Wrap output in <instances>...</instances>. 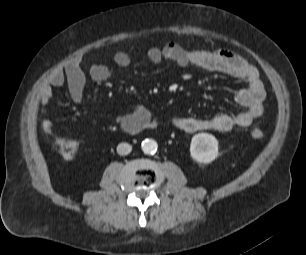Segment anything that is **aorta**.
Returning a JSON list of instances; mask_svg holds the SVG:
<instances>
[{"label":"aorta","instance_id":"1","mask_svg":"<svg viewBox=\"0 0 306 255\" xmlns=\"http://www.w3.org/2000/svg\"><path fill=\"white\" fill-rule=\"evenodd\" d=\"M158 144L153 139H146L142 142L141 149L145 154H153L157 151Z\"/></svg>","mask_w":306,"mask_h":255}]
</instances>
